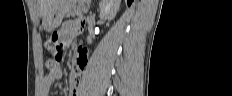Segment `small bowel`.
I'll return each mask as SVG.
<instances>
[{"mask_svg": "<svg viewBox=\"0 0 232 96\" xmlns=\"http://www.w3.org/2000/svg\"><path fill=\"white\" fill-rule=\"evenodd\" d=\"M86 11H77V19L66 21L58 32L59 39L64 46L68 43H82V38H76L77 35H82L81 27H86L87 23L82 20H87ZM87 65V54L79 50L74 55L73 72L69 82V96L79 95V84L83 71ZM62 71L59 68L57 71L47 74L42 79L41 94L48 95L51 86L55 81L61 79Z\"/></svg>", "mask_w": 232, "mask_h": 96, "instance_id": "small-bowel-1", "label": "small bowel"}]
</instances>
